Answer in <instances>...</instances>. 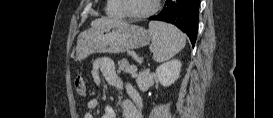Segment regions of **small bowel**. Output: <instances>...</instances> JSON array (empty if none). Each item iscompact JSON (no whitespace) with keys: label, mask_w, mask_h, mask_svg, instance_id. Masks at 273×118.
Returning <instances> with one entry per match:
<instances>
[{"label":"small bowel","mask_w":273,"mask_h":118,"mask_svg":"<svg viewBox=\"0 0 273 118\" xmlns=\"http://www.w3.org/2000/svg\"><path fill=\"white\" fill-rule=\"evenodd\" d=\"M92 77L96 84L106 81L110 85L127 93L128 98L121 105L123 118H142V100L139 93L130 81L119 76L111 58L105 56L96 58L92 66ZM98 106V99L92 98L88 100L87 108L89 111L85 113L84 118H93L91 111L96 110ZM116 117L113 107L106 106L104 108L102 118Z\"/></svg>","instance_id":"small-bowel-1"}]
</instances>
